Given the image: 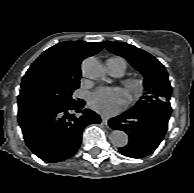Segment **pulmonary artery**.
Returning <instances> with one entry per match:
<instances>
[{
	"label": "pulmonary artery",
	"instance_id": "pulmonary-artery-1",
	"mask_svg": "<svg viewBox=\"0 0 194 193\" xmlns=\"http://www.w3.org/2000/svg\"><path fill=\"white\" fill-rule=\"evenodd\" d=\"M106 68L113 76H121L124 74L126 63L120 57H112L106 61Z\"/></svg>",
	"mask_w": 194,
	"mask_h": 193
}]
</instances>
